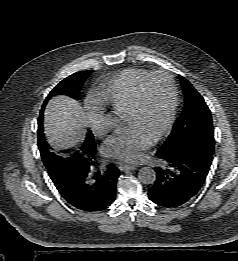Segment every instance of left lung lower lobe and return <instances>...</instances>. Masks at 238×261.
I'll use <instances>...</instances> for the list:
<instances>
[{
  "label": "left lung lower lobe",
  "mask_w": 238,
  "mask_h": 261,
  "mask_svg": "<svg viewBox=\"0 0 238 261\" xmlns=\"http://www.w3.org/2000/svg\"><path fill=\"white\" fill-rule=\"evenodd\" d=\"M206 148L159 156L162 166L154 168L156 180L149 188V199L159 206L174 208L193 198L204 184L212 162Z\"/></svg>",
  "instance_id": "left-lung-lower-lobe-1"
}]
</instances>
